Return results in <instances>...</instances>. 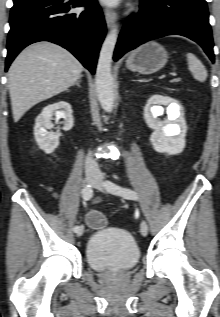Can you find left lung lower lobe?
<instances>
[{"label":"left lung lower lobe","mask_w":220,"mask_h":317,"mask_svg":"<svg viewBox=\"0 0 220 317\" xmlns=\"http://www.w3.org/2000/svg\"><path fill=\"white\" fill-rule=\"evenodd\" d=\"M140 11L122 29L114 60L140 44L177 34L197 42L214 62L213 39L205 0H140Z\"/></svg>","instance_id":"obj_1"}]
</instances>
